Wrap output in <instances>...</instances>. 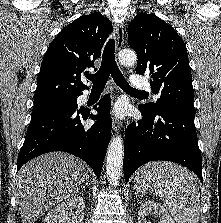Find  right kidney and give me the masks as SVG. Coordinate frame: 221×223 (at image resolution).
I'll return each mask as SVG.
<instances>
[{
  "instance_id": "1",
  "label": "right kidney",
  "mask_w": 221,
  "mask_h": 223,
  "mask_svg": "<svg viewBox=\"0 0 221 223\" xmlns=\"http://www.w3.org/2000/svg\"><path fill=\"white\" fill-rule=\"evenodd\" d=\"M84 210L85 203L83 198L74 196L50 210L43 223H82Z\"/></svg>"
}]
</instances>
